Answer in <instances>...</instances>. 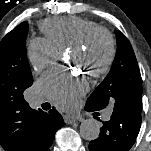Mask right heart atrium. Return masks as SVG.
Wrapping results in <instances>:
<instances>
[{"label": "right heart atrium", "mask_w": 151, "mask_h": 151, "mask_svg": "<svg viewBox=\"0 0 151 151\" xmlns=\"http://www.w3.org/2000/svg\"><path fill=\"white\" fill-rule=\"evenodd\" d=\"M60 56L61 51L46 37H34L27 44V58L35 71L54 65Z\"/></svg>", "instance_id": "right-heart-atrium-1"}]
</instances>
